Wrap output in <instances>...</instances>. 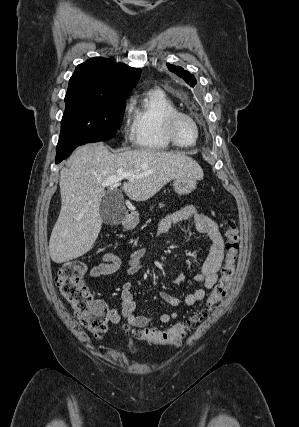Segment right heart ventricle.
Returning <instances> with one entry per match:
<instances>
[{"mask_svg": "<svg viewBox=\"0 0 299 427\" xmlns=\"http://www.w3.org/2000/svg\"><path fill=\"white\" fill-rule=\"evenodd\" d=\"M132 139L136 147L165 151L173 147L164 132V118L177 111L173 100L160 88L146 90L132 106Z\"/></svg>", "mask_w": 299, "mask_h": 427, "instance_id": "1", "label": "right heart ventricle"}]
</instances>
